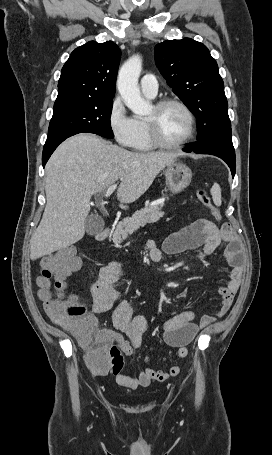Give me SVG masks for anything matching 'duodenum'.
<instances>
[{
  "instance_id": "obj_1",
  "label": "duodenum",
  "mask_w": 272,
  "mask_h": 455,
  "mask_svg": "<svg viewBox=\"0 0 272 455\" xmlns=\"http://www.w3.org/2000/svg\"><path fill=\"white\" fill-rule=\"evenodd\" d=\"M110 234V228L109 227H105L103 229H101L97 234H96V239L97 240H104L108 237V235Z\"/></svg>"
}]
</instances>
